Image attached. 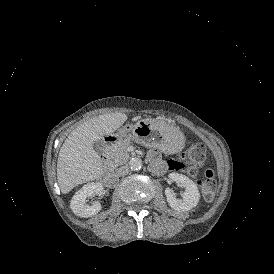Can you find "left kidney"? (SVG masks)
<instances>
[{
  "label": "left kidney",
  "instance_id": "left-kidney-1",
  "mask_svg": "<svg viewBox=\"0 0 274 274\" xmlns=\"http://www.w3.org/2000/svg\"><path fill=\"white\" fill-rule=\"evenodd\" d=\"M168 178L173 182L180 183L185 188V192L181 194L182 198H177V195L172 192L170 187H166L164 193L166 195L169 205L177 211L191 210L199 201V190L197 185L188 176L171 172Z\"/></svg>",
  "mask_w": 274,
  "mask_h": 274
}]
</instances>
